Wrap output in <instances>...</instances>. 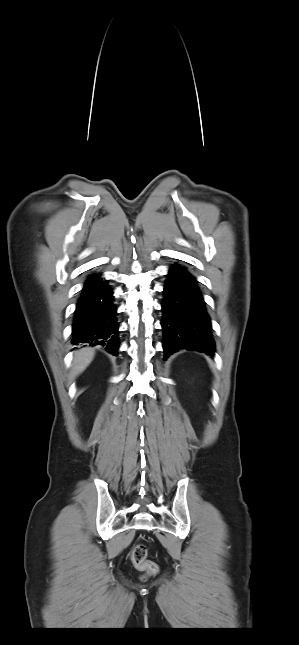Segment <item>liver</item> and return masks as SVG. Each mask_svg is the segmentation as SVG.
I'll return each instance as SVG.
<instances>
[{"mask_svg": "<svg viewBox=\"0 0 299 645\" xmlns=\"http://www.w3.org/2000/svg\"><path fill=\"white\" fill-rule=\"evenodd\" d=\"M94 349L82 348L75 352L73 359V375L81 374L92 362L94 358Z\"/></svg>", "mask_w": 299, "mask_h": 645, "instance_id": "obj_1", "label": "liver"}]
</instances>
